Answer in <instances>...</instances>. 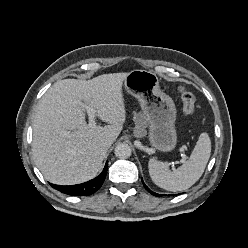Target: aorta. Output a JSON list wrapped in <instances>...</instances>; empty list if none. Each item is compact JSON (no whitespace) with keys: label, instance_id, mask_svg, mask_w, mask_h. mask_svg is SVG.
I'll return each mask as SVG.
<instances>
[{"label":"aorta","instance_id":"obj_1","mask_svg":"<svg viewBox=\"0 0 248 248\" xmlns=\"http://www.w3.org/2000/svg\"><path fill=\"white\" fill-rule=\"evenodd\" d=\"M114 153L116 157L126 159L131 156L132 150L128 144L120 143L115 147Z\"/></svg>","mask_w":248,"mask_h":248}]
</instances>
